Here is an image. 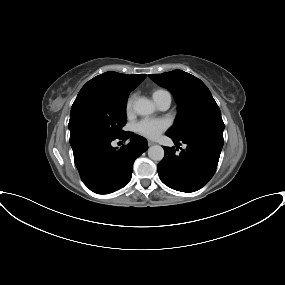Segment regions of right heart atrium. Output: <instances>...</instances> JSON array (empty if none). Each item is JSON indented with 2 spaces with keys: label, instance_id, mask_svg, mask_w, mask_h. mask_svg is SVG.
Here are the masks:
<instances>
[{
  "label": "right heart atrium",
  "instance_id": "right-heart-atrium-1",
  "mask_svg": "<svg viewBox=\"0 0 285 285\" xmlns=\"http://www.w3.org/2000/svg\"><path fill=\"white\" fill-rule=\"evenodd\" d=\"M134 100H135V96L131 95L127 102H126V113L127 114H131L133 112V106H134Z\"/></svg>",
  "mask_w": 285,
  "mask_h": 285
}]
</instances>
